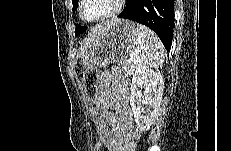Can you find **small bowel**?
<instances>
[{
	"mask_svg": "<svg viewBox=\"0 0 231 151\" xmlns=\"http://www.w3.org/2000/svg\"><path fill=\"white\" fill-rule=\"evenodd\" d=\"M128 85V77L118 69H111L100 78L99 103L110 151H135L136 141L141 136L129 105Z\"/></svg>",
	"mask_w": 231,
	"mask_h": 151,
	"instance_id": "c3829d8e",
	"label": "small bowel"
}]
</instances>
